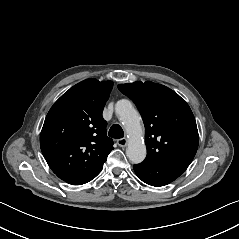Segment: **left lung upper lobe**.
<instances>
[{"label":"left lung upper lobe","instance_id":"5c2ea615","mask_svg":"<svg viewBox=\"0 0 239 239\" xmlns=\"http://www.w3.org/2000/svg\"><path fill=\"white\" fill-rule=\"evenodd\" d=\"M118 89L136 104L145 125V163L189 165L199 135L189 105L166 86L147 81L119 84Z\"/></svg>","mask_w":239,"mask_h":239}]
</instances>
